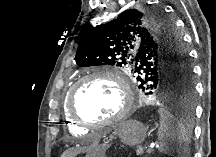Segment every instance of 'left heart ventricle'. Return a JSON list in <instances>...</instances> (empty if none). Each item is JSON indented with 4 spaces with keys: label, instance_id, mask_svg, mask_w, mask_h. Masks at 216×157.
Instances as JSON below:
<instances>
[{
    "label": "left heart ventricle",
    "instance_id": "obj_1",
    "mask_svg": "<svg viewBox=\"0 0 216 157\" xmlns=\"http://www.w3.org/2000/svg\"><path fill=\"white\" fill-rule=\"evenodd\" d=\"M121 93L118 86L104 78H94L77 90L74 105L84 119L102 121L113 118L121 109Z\"/></svg>",
    "mask_w": 216,
    "mask_h": 157
}]
</instances>
